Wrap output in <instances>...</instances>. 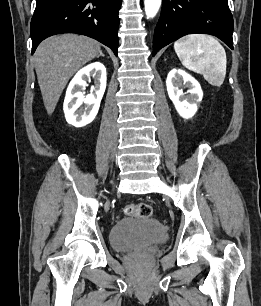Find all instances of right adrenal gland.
Segmentation results:
<instances>
[{
  "label": "right adrenal gland",
  "instance_id": "right-adrenal-gland-1",
  "mask_svg": "<svg viewBox=\"0 0 261 306\" xmlns=\"http://www.w3.org/2000/svg\"><path fill=\"white\" fill-rule=\"evenodd\" d=\"M99 56H103L104 57V54L101 52Z\"/></svg>",
  "mask_w": 261,
  "mask_h": 306
}]
</instances>
